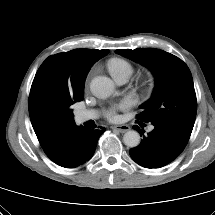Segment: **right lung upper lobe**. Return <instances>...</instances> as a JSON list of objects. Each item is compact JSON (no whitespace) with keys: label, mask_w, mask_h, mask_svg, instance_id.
Listing matches in <instances>:
<instances>
[{"label":"right lung upper lobe","mask_w":215,"mask_h":215,"mask_svg":"<svg viewBox=\"0 0 215 215\" xmlns=\"http://www.w3.org/2000/svg\"><path fill=\"white\" fill-rule=\"evenodd\" d=\"M109 50L74 49L48 57L39 71L48 69L52 83L68 92L73 99L84 96V82L91 66ZM32 83L29 96V114L36 136L48 157L54 156L66 136L77 126L72 117L51 118L37 111L30 98L34 94L37 78Z\"/></svg>","instance_id":"cb5924a9"}]
</instances>
